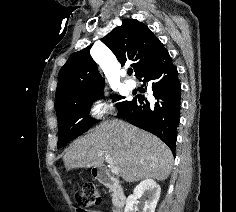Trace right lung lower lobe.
I'll return each mask as SVG.
<instances>
[{
    "instance_id": "obj_1",
    "label": "right lung lower lobe",
    "mask_w": 236,
    "mask_h": 212,
    "mask_svg": "<svg viewBox=\"0 0 236 212\" xmlns=\"http://www.w3.org/2000/svg\"><path fill=\"white\" fill-rule=\"evenodd\" d=\"M144 85H152L155 101L136 96L119 109L118 117L144 129L164 141L173 154L180 119L181 85L168 51L162 46L139 74Z\"/></svg>"
}]
</instances>
